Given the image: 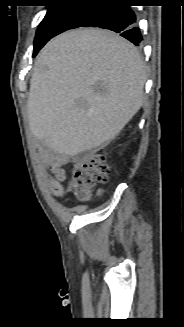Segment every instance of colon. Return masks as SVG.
<instances>
[{
  "mask_svg": "<svg viewBox=\"0 0 184 327\" xmlns=\"http://www.w3.org/2000/svg\"><path fill=\"white\" fill-rule=\"evenodd\" d=\"M110 169L101 153H94L83 161L72 173L71 185L75 196L87 201L96 187L108 181Z\"/></svg>",
  "mask_w": 184,
  "mask_h": 327,
  "instance_id": "1",
  "label": "colon"
}]
</instances>
